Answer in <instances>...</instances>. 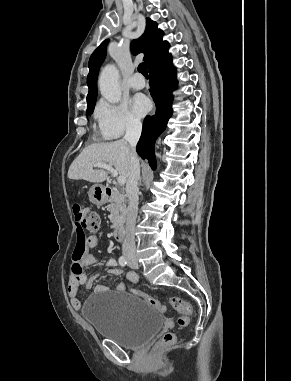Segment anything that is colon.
<instances>
[{"label": "colon", "mask_w": 291, "mask_h": 381, "mask_svg": "<svg viewBox=\"0 0 291 381\" xmlns=\"http://www.w3.org/2000/svg\"><path fill=\"white\" fill-rule=\"evenodd\" d=\"M74 219L77 226V240L78 244L73 253V259L75 261L80 260L83 255V243L85 239V231H97L99 228V217L97 214L90 212L86 207L76 204L73 207ZM77 273V272H76ZM134 294L144 299L148 302L154 309L158 311H165L164 305L157 299L143 292L132 290ZM169 304L179 312L180 316L178 318V324L180 326H187L190 321V317L193 314L192 306L177 296H171L168 298ZM174 334L167 332L163 335L160 342L158 343V348L170 345L174 342Z\"/></svg>", "instance_id": "colon-1"}]
</instances>
